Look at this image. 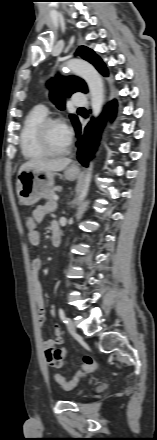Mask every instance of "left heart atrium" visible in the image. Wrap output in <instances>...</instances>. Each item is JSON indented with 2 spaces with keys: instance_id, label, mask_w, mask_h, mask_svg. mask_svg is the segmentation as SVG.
Wrapping results in <instances>:
<instances>
[{
  "instance_id": "obj_1",
  "label": "left heart atrium",
  "mask_w": 157,
  "mask_h": 440,
  "mask_svg": "<svg viewBox=\"0 0 157 440\" xmlns=\"http://www.w3.org/2000/svg\"><path fill=\"white\" fill-rule=\"evenodd\" d=\"M61 126H62V130H63L65 136L68 138L69 141H71V139H72L71 128L66 123L61 124Z\"/></svg>"
}]
</instances>
